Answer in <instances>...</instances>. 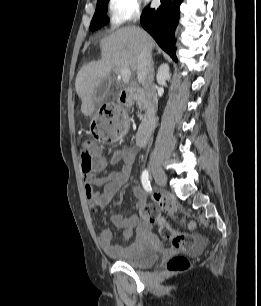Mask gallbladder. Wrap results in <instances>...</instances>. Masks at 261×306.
<instances>
[{
    "label": "gallbladder",
    "instance_id": "bac80fb5",
    "mask_svg": "<svg viewBox=\"0 0 261 306\" xmlns=\"http://www.w3.org/2000/svg\"><path fill=\"white\" fill-rule=\"evenodd\" d=\"M109 86L110 84L108 80H103L99 83L94 93L95 105H99L104 102L108 94Z\"/></svg>",
    "mask_w": 261,
    "mask_h": 306
}]
</instances>
